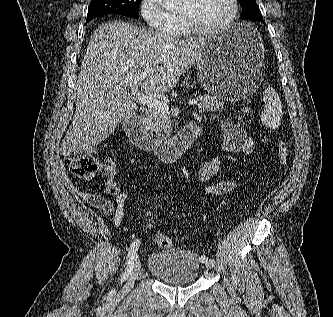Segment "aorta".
I'll list each match as a JSON object with an SVG mask.
<instances>
[{"instance_id":"aorta-1","label":"aorta","mask_w":333,"mask_h":317,"mask_svg":"<svg viewBox=\"0 0 333 317\" xmlns=\"http://www.w3.org/2000/svg\"><path fill=\"white\" fill-rule=\"evenodd\" d=\"M183 0H156L165 9L171 10L178 7Z\"/></svg>"}]
</instances>
